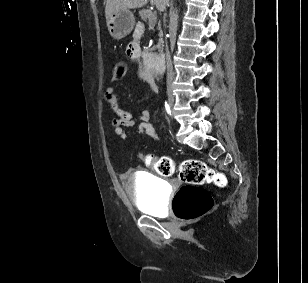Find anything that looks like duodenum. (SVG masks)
<instances>
[{"label": "duodenum", "instance_id": "1", "mask_svg": "<svg viewBox=\"0 0 308 283\" xmlns=\"http://www.w3.org/2000/svg\"><path fill=\"white\" fill-rule=\"evenodd\" d=\"M145 61L150 62V68L158 71H164L166 67V55L165 53H158L151 55L149 50L144 52Z\"/></svg>", "mask_w": 308, "mask_h": 283}]
</instances>
